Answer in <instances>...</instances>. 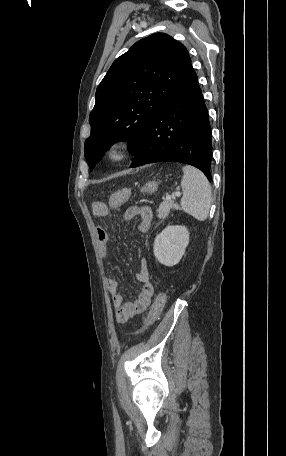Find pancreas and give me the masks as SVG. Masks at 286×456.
<instances>
[{
  "instance_id": "cf45deb5",
  "label": "pancreas",
  "mask_w": 286,
  "mask_h": 456,
  "mask_svg": "<svg viewBox=\"0 0 286 456\" xmlns=\"http://www.w3.org/2000/svg\"><path fill=\"white\" fill-rule=\"evenodd\" d=\"M171 209L178 210V209H180V207L177 203H174L173 201H170V200L169 201L166 200V201L162 202L159 205V208L157 210V213H158L157 217L159 219H165L168 216V214L170 213Z\"/></svg>"
}]
</instances>
